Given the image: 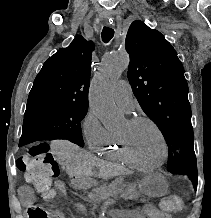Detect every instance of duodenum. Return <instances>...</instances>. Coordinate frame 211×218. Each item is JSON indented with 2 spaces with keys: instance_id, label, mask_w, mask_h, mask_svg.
Wrapping results in <instances>:
<instances>
[{
  "instance_id": "duodenum-1",
  "label": "duodenum",
  "mask_w": 211,
  "mask_h": 218,
  "mask_svg": "<svg viewBox=\"0 0 211 218\" xmlns=\"http://www.w3.org/2000/svg\"><path fill=\"white\" fill-rule=\"evenodd\" d=\"M71 178L75 185H79L82 181L78 173H73ZM108 215L112 218H138V210H112L108 212Z\"/></svg>"
}]
</instances>
